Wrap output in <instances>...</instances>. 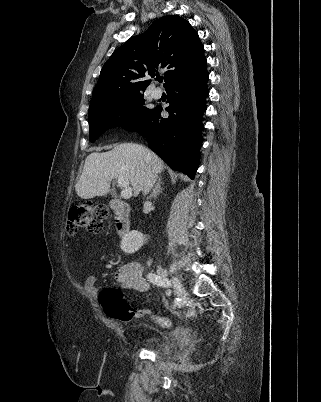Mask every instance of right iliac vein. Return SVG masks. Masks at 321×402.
Listing matches in <instances>:
<instances>
[{
	"label": "right iliac vein",
	"mask_w": 321,
	"mask_h": 402,
	"mask_svg": "<svg viewBox=\"0 0 321 402\" xmlns=\"http://www.w3.org/2000/svg\"><path fill=\"white\" fill-rule=\"evenodd\" d=\"M158 271L161 275H164V271L162 269H159ZM172 282H173L175 294L181 300L180 306H182L184 304V300L186 298L185 289L183 288V286L178 278L173 277Z\"/></svg>",
	"instance_id": "1"
}]
</instances>
